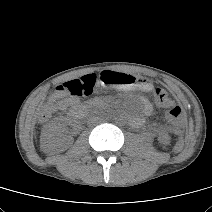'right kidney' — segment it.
I'll list each match as a JSON object with an SVG mask.
<instances>
[{
  "label": "right kidney",
  "mask_w": 212,
  "mask_h": 212,
  "mask_svg": "<svg viewBox=\"0 0 212 212\" xmlns=\"http://www.w3.org/2000/svg\"><path fill=\"white\" fill-rule=\"evenodd\" d=\"M62 141L61 132L58 129L47 130L44 138L41 140L42 147H54ZM69 139H66V144H68Z\"/></svg>",
  "instance_id": "ca27d5eb"
}]
</instances>
